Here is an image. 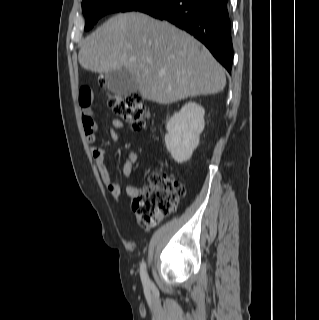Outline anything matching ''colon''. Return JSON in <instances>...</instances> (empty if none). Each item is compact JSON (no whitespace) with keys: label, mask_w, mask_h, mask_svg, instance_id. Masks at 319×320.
<instances>
[{"label":"colon","mask_w":319,"mask_h":320,"mask_svg":"<svg viewBox=\"0 0 319 320\" xmlns=\"http://www.w3.org/2000/svg\"><path fill=\"white\" fill-rule=\"evenodd\" d=\"M108 103L132 129L145 128L150 113L140 95L110 94ZM185 194V188L177 180L160 172H154L149 175L145 185L134 198L132 210L139 224L154 226L178 207Z\"/></svg>","instance_id":"obj_1"}]
</instances>
